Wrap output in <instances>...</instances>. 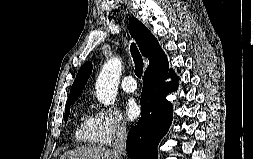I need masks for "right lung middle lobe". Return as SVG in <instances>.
Returning a JSON list of instances; mask_svg holds the SVG:
<instances>
[{
	"instance_id": "obj_1",
	"label": "right lung middle lobe",
	"mask_w": 253,
	"mask_h": 159,
	"mask_svg": "<svg viewBox=\"0 0 253 159\" xmlns=\"http://www.w3.org/2000/svg\"><path fill=\"white\" fill-rule=\"evenodd\" d=\"M75 100H76V99H72V100H69V101L66 102V107H65V123H66L67 120H68V115H69V111H70L69 107H70V105H71Z\"/></svg>"
}]
</instances>
